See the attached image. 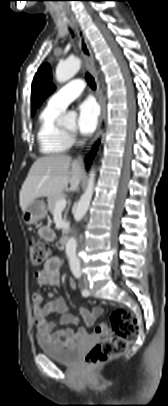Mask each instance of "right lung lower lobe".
<instances>
[{
	"instance_id": "obj_1",
	"label": "right lung lower lobe",
	"mask_w": 168,
	"mask_h": 406,
	"mask_svg": "<svg viewBox=\"0 0 168 406\" xmlns=\"http://www.w3.org/2000/svg\"><path fill=\"white\" fill-rule=\"evenodd\" d=\"M97 145H98V144L95 145V147H94V149H93V152L86 158V166H87V167H89L90 164H91V162H92V159H93V157H94V154H95V150H96V148H97Z\"/></svg>"
}]
</instances>
